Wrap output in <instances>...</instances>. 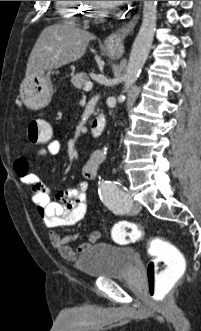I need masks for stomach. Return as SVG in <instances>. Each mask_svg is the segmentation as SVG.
<instances>
[{"label": "stomach", "instance_id": "0dacf381", "mask_svg": "<svg viewBox=\"0 0 201 331\" xmlns=\"http://www.w3.org/2000/svg\"><path fill=\"white\" fill-rule=\"evenodd\" d=\"M112 57L116 55L110 53ZM53 95V85L48 74L25 78L20 86V97L32 110H40L48 106Z\"/></svg>", "mask_w": 201, "mask_h": 331}]
</instances>
